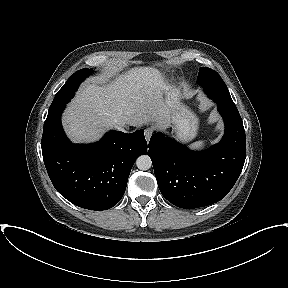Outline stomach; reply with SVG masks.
<instances>
[{"instance_id": "1", "label": "stomach", "mask_w": 288, "mask_h": 288, "mask_svg": "<svg viewBox=\"0 0 288 288\" xmlns=\"http://www.w3.org/2000/svg\"><path fill=\"white\" fill-rule=\"evenodd\" d=\"M164 100L168 106L169 119L174 126L176 136L183 141L193 139L197 134L199 121L197 116L180 102L179 88L167 82Z\"/></svg>"}]
</instances>
